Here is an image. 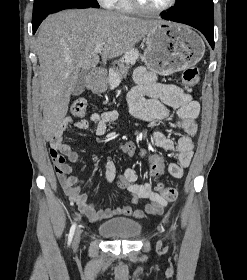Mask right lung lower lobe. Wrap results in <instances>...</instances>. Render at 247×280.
<instances>
[{
	"mask_svg": "<svg viewBox=\"0 0 247 280\" xmlns=\"http://www.w3.org/2000/svg\"><path fill=\"white\" fill-rule=\"evenodd\" d=\"M88 6H84V5H78V6H68V7H64V8H61L59 10H62V9H67V8H87ZM57 10V11H59ZM56 12V11H55ZM43 20L41 21H37V22H32V26H33V33L36 32L38 26L40 25V23L42 22Z\"/></svg>",
	"mask_w": 247,
	"mask_h": 280,
	"instance_id": "98d812e1",
	"label": "right lung lower lobe"
}]
</instances>
